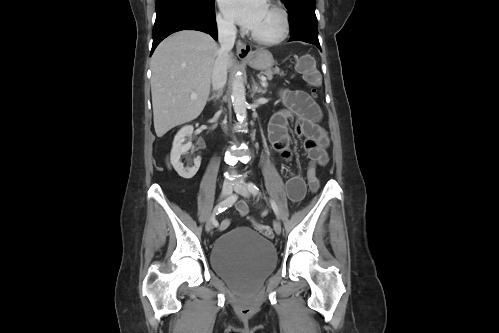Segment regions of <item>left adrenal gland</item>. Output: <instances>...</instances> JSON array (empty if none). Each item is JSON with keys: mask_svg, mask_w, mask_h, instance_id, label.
I'll use <instances>...</instances> for the list:
<instances>
[{"mask_svg": "<svg viewBox=\"0 0 499 333\" xmlns=\"http://www.w3.org/2000/svg\"><path fill=\"white\" fill-rule=\"evenodd\" d=\"M252 90H253V93H262V94L266 93V89L263 90V89L259 88L255 81H253Z\"/></svg>", "mask_w": 499, "mask_h": 333, "instance_id": "left-adrenal-gland-1", "label": "left adrenal gland"}]
</instances>
